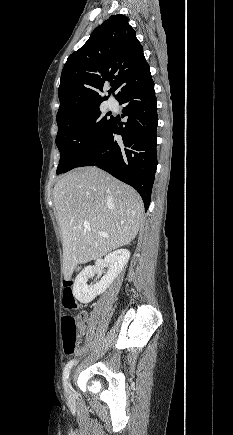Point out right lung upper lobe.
I'll return each instance as SVG.
<instances>
[{
  "label": "right lung upper lobe",
  "mask_w": 233,
  "mask_h": 435,
  "mask_svg": "<svg viewBox=\"0 0 233 435\" xmlns=\"http://www.w3.org/2000/svg\"><path fill=\"white\" fill-rule=\"evenodd\" d=\"M150 73L136 32L122 14L112 15L98 26L87 42L72 53L62 70L57 119L82 114L99 107L107 81L109 95L122 92Z\"/></svg>",
  "instance_id": "right-lung-upper-lobe-1"
}]
</instances>
